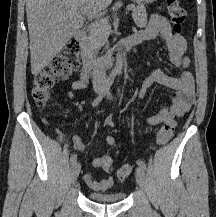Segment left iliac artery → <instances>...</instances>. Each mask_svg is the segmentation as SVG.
Segmentation results:
<instances>
[{
  "mask_svg": "<svg viewBox=\"0 0 216 217\" xmlns=\"http://www.w3.org/2000/svg\"><path fill=\"white\" fill-rule=\"evenodd\" d=\"M137 165L142 168L143 170H146V164L142 160H137Z\"/></svg>",
  "mask_w": 216,
  "mask_h": 217,
  "instance_id": "left-iliac-artery-1",
  "label": "left iliac artery"
}]
</instances>
